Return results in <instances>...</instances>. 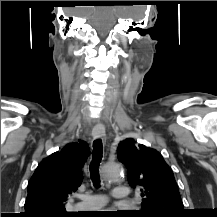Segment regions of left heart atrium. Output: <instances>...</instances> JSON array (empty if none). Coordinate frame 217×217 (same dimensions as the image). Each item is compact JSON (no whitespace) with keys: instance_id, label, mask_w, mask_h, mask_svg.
<instances>
[{"instance_id":"1","label":"left heart atrium","mask_w":217,"mask_h":217,"mask_svg":"<svg viewBox=\"0 0 217 217\" xmlns=\"http://www.w3.org/2000/svg\"><path fill=\"white\" fill-rule=\"evenodd\" d=\"M103 217H116V212L114 210H110L101 214Z\"/></svg>"}]
</instances>
